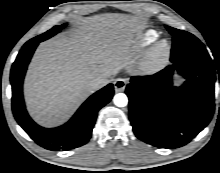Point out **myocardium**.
I'll use <instances>...</instances> for the list:
<instances>
[{"label":"myocardium","mask_w":220,"mask_h":173,"mask_svg":"<svg viewBox=\"0 0 220 173\" xmlns=\"http://www.w3.org/2000/svg\"><path fill=\"white\" fill-rule=\"evenodd\" d=\"M171 44L167 39H159L152 43L141 56L140 69L152 73L162 68L168 61Z\"/></svg>","instance_id":"myocardium-1"}]
</instances>
